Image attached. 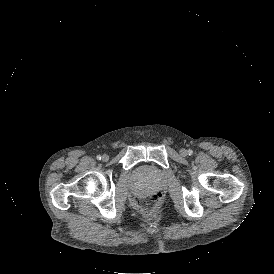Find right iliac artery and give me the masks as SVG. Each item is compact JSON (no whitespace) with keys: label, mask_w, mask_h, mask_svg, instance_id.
<instances>
[{"label":"right iliac artery","mask_w":274,"mask_h":274,"mask_svg":"<svg viewBox=\"0 0 274 274\" xmlns=\"http://www.w3.org/2000/svg\"><path fill=\"white\" fill-rule=\"evenodd\" d=\"M97 160H101V155H97Z\"/></svg>","instance_id":"82829eb1"}]
</instances>
